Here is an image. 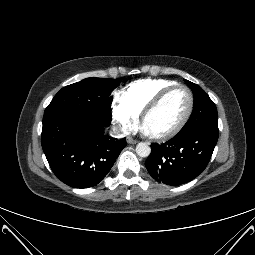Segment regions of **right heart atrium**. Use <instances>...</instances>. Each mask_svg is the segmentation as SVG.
<instances>
[{"label": "right heart atrium", "instance_id": "1", "mask_svg": "<svg viewBox=\"0 0 255 255\" xmlns=\"http://www.w3.org/2000/svg\"><path fill=\"white\" fill-rule=\"evenodd\" d=\"M111 113L114 123L123 134L133 131L139 122V114L136 113L121 98H116L111 104Z\"/></svg>", "mask_w": 255, "mask_h": 255}]
</instances>
